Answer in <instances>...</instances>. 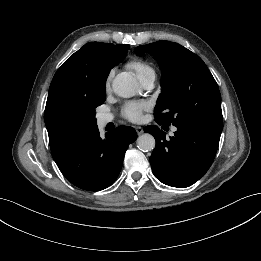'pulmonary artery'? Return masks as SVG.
Wrapping results in <instances>:
<instances>
[{
	"instance_id": "pulmonary-artery-1",
	"label": "pulmonary artery",
	"mask_w": 261,
	"mask_h": 261,
	"mask_svg": "<svg viewBox=\"0 0 261 261\" xmlns=\"http://www.w3.org/2000/svg\"><path fill=\"white\" fill-rule=\"evenodd\" d=\"M154 80H155V77H148L144 80L141 81L142 85L146 88V89H150L153 87L154 85ZM113 120V116L111 114H101L99 117H98V123L101 125V126H105L107 125L108 123H110L111 121ZM176 129L174 128L173 129V132L175 131Z\"/></svg>"
}]
</instances>
